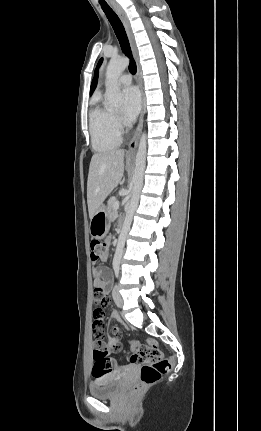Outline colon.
<instances>
[{
    "instance_id": "1",
    "label": "colon",
    "mask_w": 261,
    "mask_h": 431,
    "mask_svg": "<svg viewBox=\"0 0 261 431\" xmlns=\"http://www.w3.org/2000/svg\"><path fill=\"white\" fill-rule=\"evenodd\" d=\"M107 254L108 244L106 242L97 240L91 242L92 261L101 260ZM101 317L105 318L106 315H101ZM131 348L132 355L130 356V361L141 366L140 384L133 388L134 392H138L142 387L157 383L164 374L171 370V361L162 354L154 341L150 340L143 346L133 342ZM94 358L95 364L92 368V373L96 379L101 380L107 376V373L119 371V366H116L114 360L107 358L105 351L95 350Z\"/></svg>"
}]
</instances>
